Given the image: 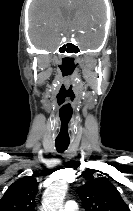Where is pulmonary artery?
Wrapping results in <instances>:
<instances>
[{"label": "pulmonary artery", "instance_id": "e3ab8cb5", "mask_svg": "<svg viewBox=\"0 0 133 211\" xmlns=\"http://www.w3.org/2000/svg\"><path fill=\"white\" fill-rule=\"evenodd\" d=\"M63 211H78V206L75 201L69 200L65 203Z\"/></svg>", "mask_w": 133, "mask_h": 211}]
</instances>
